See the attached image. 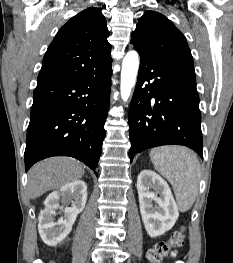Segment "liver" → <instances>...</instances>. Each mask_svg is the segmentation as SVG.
<instances>
[{
    "mask_svg": "<svg viewBox=\"0 0 233 263\" xmlns=\"http://www.w3.org/2000/svg\"><path fill=\"white\" fill-rule=\"evenodd\" d=\"M84 175L83 166L68 157L48 158L35 164L29 171L27 192L31 199L49 190L79 180Z\"/></svg>",
    "mask_w": 233,
    "mask_h": 263,
    "instance_id": "1",
    "label": "liver"
}]
</instances>
